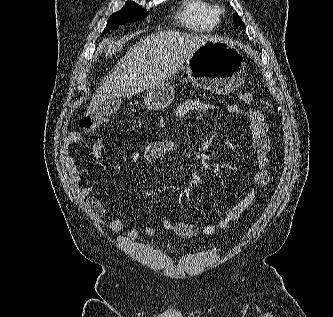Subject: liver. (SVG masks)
Here are the masks:
<instances>
[{
	"label": "liver",
	"mask_w": 333,
	"mask_h": 317,
	"mask_svg": "<svg viewBox=\"0 0 333 317\" xmlns=\"http://www.w3.org/2000/svg\"><path fill=\"white\" fill-rule=\"evenodd\" d=\"M210 35L159 31L131 47L97 89L86 116L92 115L106 99L129 98L174 77L192 53Z\"/></svg>",
	"instance_id": "obj_1"
}]
</instances>
